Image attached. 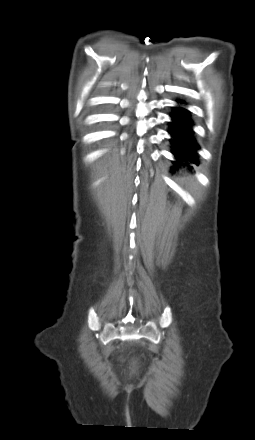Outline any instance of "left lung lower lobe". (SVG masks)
<instances>
[{
  "instance_id": "obj_1",
  "label": "left lung lower lobe",
  "mask_w": 255,
  "mask_h": 440,
  "mask_svg": "<svg viewBox=\"0 0 255 440\" xmlns=\"http://www.w3.org/2000/svg\"><path fill=\"white\" fill-rule=\"evenodd\" d=\"M178 106L173 107L170 117L172 121L168 123L169 134L171 135V153L175 157L171 170H176L180 166H189L190 163L199 164L197 150L199 145L194 137V122L191 114L185 108V101L177 100Z\"/></svg>"
}]
</instances>
